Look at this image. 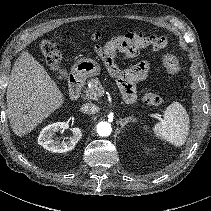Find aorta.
<instances>
[{"label": "aorta", "mask_w": 211, "mask_h": 211, "mask_svg": "<svg viewBox=\"0 0 211 211\" xmlns=\"http://www.w3.org/2000/svg\"><path fill=\"white\" fill-rule=\"evenodd\" d=\"M96 131L99 136L107 137L112 132V127L108 122H99L96 127Z\"/></svg>", "instance_id": "obj_1"}]
</instances>
